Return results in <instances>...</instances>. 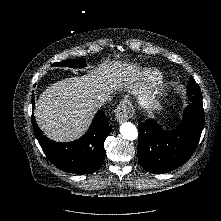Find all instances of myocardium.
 <instances>
[{"instance_id":"obj_1","label":"myocardium","mask_w":221,"mask_h":221,"mask_svg":"<svg viewBox=\"0 0 221 221\" xmlns=\"http://www.w3.org/2000/svg\"><path fill=\"white\" fill-rule=\"evenodd\" d=\"M163 94L164 88L162 86H157L153 90L144 94L140 98V103L144 108H151L158 102Z\"/></svg>"}]
</instances>
